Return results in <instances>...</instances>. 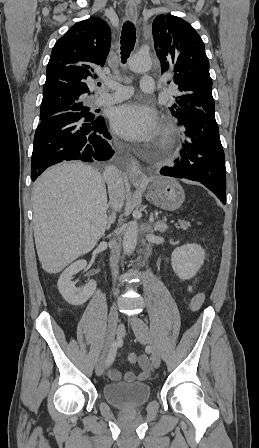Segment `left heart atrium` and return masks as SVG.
Segmentation results:
<instances>
[{
  "instance_id": "39dd6f15",
  "label": "left heart atrium",
  "mask_w": 259,
  "mask_h": 448,
  "mask_svg": "<svg viewBox=\"0 0 259 448\" xmlns=\"http://www.w3.org/2000/svg\"><path fill=\"white\" fill-rule=\"evenodd\" d=\"M111 124L117 134L132 141L151 138L159 129L155 110L140 101L117 107L112 113Z\"/></svg>"
}]
</instances>
